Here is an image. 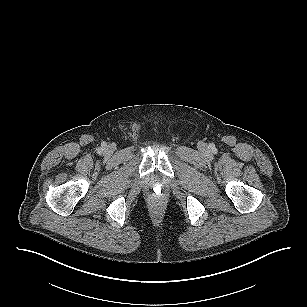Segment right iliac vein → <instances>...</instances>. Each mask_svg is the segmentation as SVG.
I'll return each mask as SVG.
<instances>
[{
    "mask_svg": "<svg viewBox=\"0 0 307 307\" xmlns=\"http://www.w3.org/2000/svg\"><path fill=\"white\" fill-rule=\"evenodd\" d=\"M115 150V146L114 145H108L106 148H105V153L107 155H111Z\"/></svg>",
    "mask_w": 307,
    "mask_h": 307,
    "instance_id": "obj_1",
    "label": "right iliac vein"
}]
</instances>
